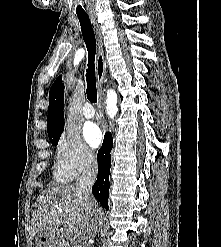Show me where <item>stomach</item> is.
<instances>
[{"mask_svg": "<svg viewBox=\"0 0 221 247\" xmlns=\"http://www.w3.org/2000/svg\"><path fill=\"white\" fill-rule=\"evenodd\" d=\"M54 241V232H40L36 236L37 247H52Z\"/></svg>", "mask_w": 221, "mask_h": 247, "instance_id": "1", "label": "stomach"}]
</instances>
